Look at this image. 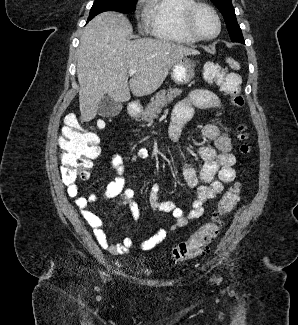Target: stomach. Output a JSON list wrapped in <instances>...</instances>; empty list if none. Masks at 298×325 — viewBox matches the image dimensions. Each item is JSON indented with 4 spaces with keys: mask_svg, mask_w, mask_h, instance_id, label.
I'll list each match as a JSON object with an SVG mask.
<instances>
[{
    "mask_svg": "<svg viewBox=\"0 0 298 325\" xmlns=\"http://www.w3.org/2000/svg\"><path fill=\"white\" fill-rule=\"evenodd\" d=\"M197 70V62L193 56H183L173 64L170 76L176 84H188L193 80Z\"/></svg>",
    "mask_w": 298,
    "mask_h": 325,
    "instance_id": "obj_1",
    "label": "stomach"
}]
</instances>
